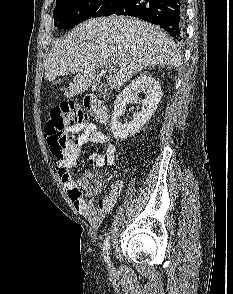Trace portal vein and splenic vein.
I'll list each match as a JSON object with an SVG mask.
<instances>
[{"instance_id":"obj_1","label":"portal vein and splenic vein","mask_w":233,"mask_h":294,"mask_svg":"<svg viewBox=\"0 0 233 294\" xmlns=\"http://www.w3.org/2000/svg\"><path fill=\"white\" fill-rule=\"evenodd\" d=\"M106 69H109L112 71L114 69V67L112 65H106Z\"/></svg>"}]
</instances>
